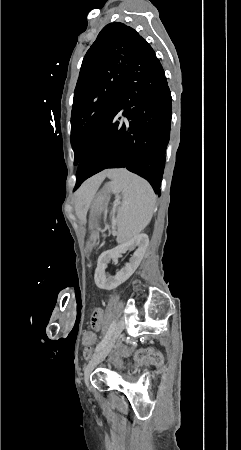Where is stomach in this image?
<instances>
[{
	"label": "stomach",
	"mask_w": 241,
	"mask_h": 450,
	"mask_svg": "<svg viewBox=\"0 0 241 450\" xmlns=\"http://www.w3.org/2000/svg\"><path fill=\"white\" fill-rule=\"evenodd\" d=\"M108 201H109V196L105 191L103 193L99 194L93 205V210H94L95 214H101V212L104 211ZM92 248H93V244L88 242L86 245L87 251H91Z\"/></svg>",
	"instance_id": "1"
}]
</instances>
